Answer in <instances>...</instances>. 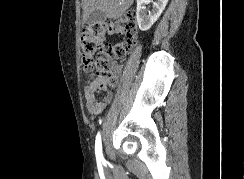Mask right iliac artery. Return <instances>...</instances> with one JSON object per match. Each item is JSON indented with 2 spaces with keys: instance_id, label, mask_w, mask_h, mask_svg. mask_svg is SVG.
<instances>
[{
  "instance_id": "1",
  "label": "right iliac artery",
  "mask_w": 244,
  "mask_h": 179,
  "mask_svg": "<svg viewBox=\"0 0 244 179\" xmlns=\"http://www.w3.org/2000/svg\"><path fill=\"white\" fill-rule=\"evenodd\" d=\"M95 154H96V159L98 161H103L104 160V157H103V154H102V143H101V135H100V133H98L97 136H96Z\"/></svg>"
}]
</instances>
